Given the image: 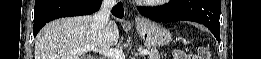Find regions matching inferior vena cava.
<instances>
[{
    "label": "inferior vena cava",
    "instance_id": "1",
    "mask_svg": "<svg viewBox=\"0 0 261 59\" xmlns=\"http://www.w3.org/2000/svg\"><path fill=\"white\" fill-rule=\"evenodd\" d=\"M116 0H103L101 8L94 14L92 27L95 29H104L110 19L112 8L115 6Z\"/></svg>",
    "mask_w": 261,
    "mask_h": 59
}]
</instances>
